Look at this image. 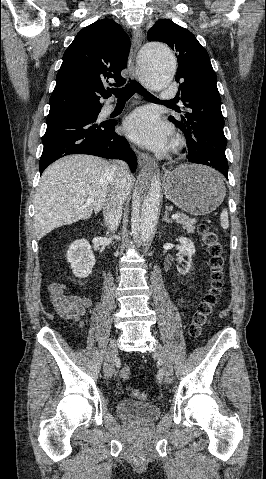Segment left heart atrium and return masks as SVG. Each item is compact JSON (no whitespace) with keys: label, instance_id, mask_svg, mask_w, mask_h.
I'll use <instances>...</instances> for the list:
<instances>
[{"label":"left heart atrium","instance_id":"left-heart-atrium-1","mask_svg":"<svg viewBox=\"0 0 266 479\" xmlns=\"http://www.w3.org/2000/svg\"><path fill=\"white\" fill-rule=\"evenodd\" d=\"M124 130L135 142L153 148L163 147L170 136V128L146 108L130 114L124 122Z\"/></svg>","mask_w":266,"mask_h":479}]
</instances>
